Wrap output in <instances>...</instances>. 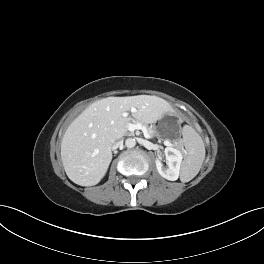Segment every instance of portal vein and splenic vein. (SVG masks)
<instances>
[{
    "mask_svg": "<svg viewBox=\"0 0 264 264\" xmlns=\"http://www.w3.org/2000/svg\"><path fill=\"white\" fill-rule=\"evenodd\" d=\"M131 112H133V113L136 112V109H134V108L131 109ZM123 116H126V113H124ZM127 128H128L129 131L141 130L146 138H150V135L148 133L147 128L144 125H142L141 123H139V122L135 123V124L129 123L127 125ZM164 144L166 146H172V144H171V142L169 140H165Z\"/></svg>",
    "mask_w": 264,
    "mask_h": 264,
    "instance_id": "obj_1",
    "label": "portal vein and splenic vein"
}]
</instances>
